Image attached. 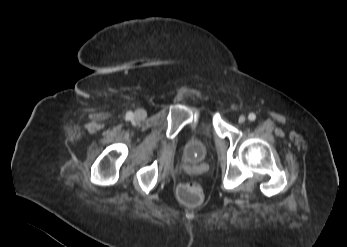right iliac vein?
<instances>
[{"label":"right iliac vein","mask_w":347,"mask_h":247,"mask_svg":"<svg viewBox=\"0 0 347 247\" xmlns=\"http://www.w3.org/2000/svg\"><path fill=\"white\" fill-rule=\"evenodd\" d=\"M146 115H147V113L144 109H139L135 112L134 117L136 120H142L146 117Z\"/></svg>","instance_id":"63e3f726"}]
</instances>
